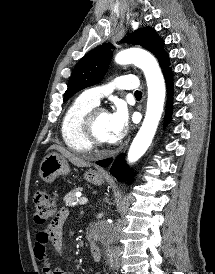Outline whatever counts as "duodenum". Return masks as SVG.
Listing matches in <instances>:
<instances>
[{"mask_svg": "<svg viewBox=\"0 0 215 274\" xmlns=\"http://www.w3.org/2000/svg\"><path fill=\"white\" fill-rule=\"evenodd\" d=\"M88 246L93 260L99 262L101 260V250L91 236L88 237Z\"/></svg>", "mask_w": 215, "mask_h": 274, "instance_id": "duodenum-1", "label": "duodenum"}]
</instances>
